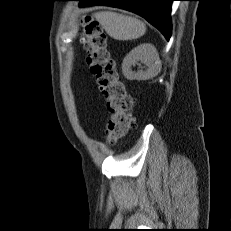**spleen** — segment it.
<instances>
[{"label": "spleen", "mask_w": 231, "mask_h": 231, "mask_svg": "<svg viewBox=\"0 0 231 231\" xmlns=\"http://www.w3.org/2000/svg\"><path fill=\"white\" fill-rule=\"evenodd\" d=\"M94 17L107 34L116 40L138 39L146 32L145 24L134 17L109 11L97 12Z\"/></svg>", "instance_id": "3e777b00"}]
</instances>
